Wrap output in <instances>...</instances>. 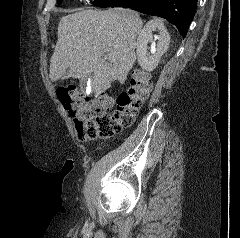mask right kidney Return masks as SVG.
<instances>
[{
	"label": "right kidney",
	"instance_id": "right-kidney-1",
	"mask_svg": "<svg viewBox=\"0 0 240 238\" xmlns=\"http://www.w3.org/2000/svg\"><path fill=\"white\" fill-rule=\"evenodd\" d=\"M158 31V44L156 49H151V54L148 52V43L153 39V32ZM170 43V35L160 19H153L146 23L140 32L136 48L138 63L142 69L153 71L160 62L161 56L167 51Z\"/></svg>",
	"mask_w": 240,
	"mask_h": 238
}]
</instances>
